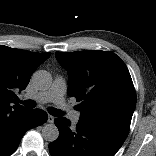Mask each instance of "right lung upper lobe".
Wrapping results in <instances>:
<instances>
[{
	"mask_svg": "<svg viewBox=\"0 0 156 156\" xmlns=\"http://www.w3.org/2000/svg\"><path fill=\"white\" fill-rule=\"evenodd\" d=\"M51 53H35L0 45V112L23 110L15 93L26 88L32 73Z\"/></svg>",
	"mask_w": 156,
	"mask_h": 156,
	"instance_id": "obj_1",
	"label": "right lung upper lobe"
}]
</instances>
